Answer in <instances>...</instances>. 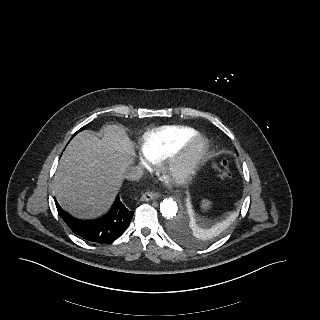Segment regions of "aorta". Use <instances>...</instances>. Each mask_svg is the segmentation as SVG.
I'll return each mask as SVG.
<instances>
[{"mask_svg":"<svg viewBox=\"0 0 320 320\" xmlns=\"http://www.w3.org/2000/svg\"><path fill=\"white\" fill-rule=\"evenodd\" d=\"M160 212L167 219L175 217L178 213V205L176 201L171 198L164 199L160 204ZM185 225V219L181 217L176 223V228L181 229L185 227Z\"/></svg>","mask_w":320,"mask_h":320,"instance_id":"1","label":"aorta"}]
</instances>
